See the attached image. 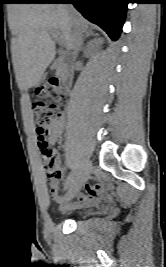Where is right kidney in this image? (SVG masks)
I'll return each instance as SVG.
<instances>
[{"label": "right kidney", "instance_id": "right-kidney-1", "mask_svg": "<svg viewBox=\"0 0 166 267\" xmlns=\"http://www.w3.org/2000/svg\"><path fill=\"white\" fill-rule=\"evenodd\" d=\"M101 42H102V39H100V38L95 39L90 44V46L88 47V49H87V55L88 56L92 55V53L99 47V45L101 44Z\"/></svg>", "mask_w": 166, "mask_h": 267}]
</instances>
